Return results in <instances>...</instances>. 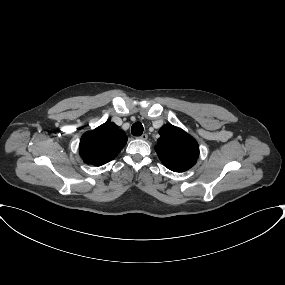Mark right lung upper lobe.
I'll use <instances>...</instances> for the list:
<instances>
[{
	"label": "right lung upper lobe",
	"mask_w": 285,
	"mask_h": 285,
	"mask_svg": "<svg viewBox=\"0 0 285 285\" xmlns=\"http://www.w3.org/2000/svg\"><path fill=\"white\" fill-rule=\"evenodd\" d=\"M126 143L125 132L108 120L82 135L79 145L80 156L87 164L101 166L113 160Z\"/></svg>",
	"instance_id": "right-lung-upper-lobe-1"
}]
</instances>
